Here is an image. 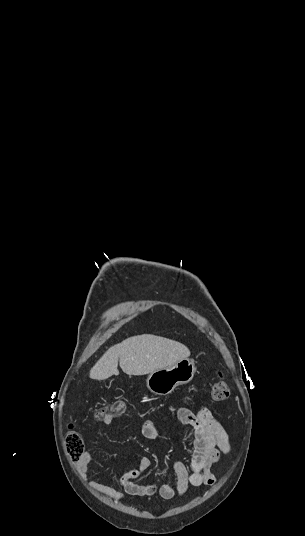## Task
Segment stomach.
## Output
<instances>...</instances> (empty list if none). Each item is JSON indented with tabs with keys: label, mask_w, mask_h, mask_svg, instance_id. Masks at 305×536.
Returning a JSON list of instances; mask_svg holds the SVG:
<instances>
[{
	"label": "stomach",
	"mask_w": 305,
	"mask_h": 536,
	"mask_svg": "<svg viewBox=\"0 0 305 536\" xmlns=\"http://www.w3.org/2000/svg\"><path fill=\"white\" fill-rule=\"evenodd\" d=\"M196 372V366L194 360H179L174 366L169 368H162V370H156L149 374L146 384L148 390L156 394V396H167L171 394L177 386H183L191 382Z\"/></svg>",
	"instance_id": "1"
}]
</instances>
